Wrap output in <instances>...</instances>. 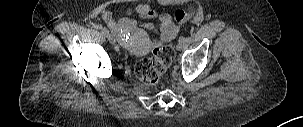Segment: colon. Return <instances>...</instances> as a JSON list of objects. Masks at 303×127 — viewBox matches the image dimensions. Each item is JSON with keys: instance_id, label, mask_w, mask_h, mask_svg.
<instances>
[{"instance_id": "5ec220e1", "label": "colon", "mask_w": 303, "mask_h": 127, "mask_svg": "<svg viewBox=\"0 0 303 127\" xmlns=\"http://www.w3.org/2000/svg\"><path fill=\"white\" fill-rule=\"evenodd\" d=\"M195 12L192 6L187 10H178L175 20L183 23ZM175 57V51L170 45L161 44L157 46L151 57L141 59L135 66L136 76L147 85H156L161 75L166 71Z\"/></svg>"}]
</instances>
